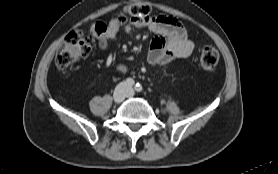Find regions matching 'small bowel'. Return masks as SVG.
Wrapping results in <instances>:
<instances>
[{"mask_svg": "<svg viewBox=\"0 0 278 174\" xmlns=\"http://www.w3.org/2000/svg\"><path fill=\"white\" fill-rule=\"evenodd\" d=\"M146 28L156 35L150 44L148 62L165 65L178 58L189 57L194 50V43L180 21L166 15H139L124 17L119 30L130 32L133 28ZM113 37H99L98 46L107 50L109 40Z\"/></svg>", "mask_w": 278, "mask_h": 174, "instance_id": "c3829d8e", "label": "small bowel"}]
</instances>
